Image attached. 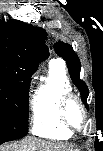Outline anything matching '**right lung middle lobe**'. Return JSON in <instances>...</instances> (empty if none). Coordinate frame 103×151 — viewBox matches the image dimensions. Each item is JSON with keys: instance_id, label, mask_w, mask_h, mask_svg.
I'll list each match as a JSON object with an SVG mask.
<instances>
[{"instance_id": "obj_1", "label": "right lung middle lobe", "mask_w": 103, "mask_h": 151, "mask_svg": "<svg viewBox=\"0 0 103 151\" xmlns=\"http://www.w3.org/2000/svg\"><path fill=\"white\" fill-rule=\"evenodd\" d=\"M30 81H15L0 75V144L28 133Z\"/></svg>"}]
</instances>
